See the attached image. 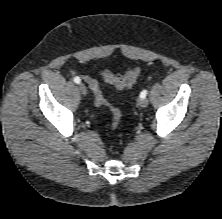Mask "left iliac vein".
<instances>
[{
    "label": "left iliac vein",
    "mask_w": 222,
    "mask_h": 219,
    "mask_svg": "<svg viewBox=\"0 0 222 219\" xmlns=\"http://www.w3.org/2000/svg\"><path fill=\"white\" fill-rule=\"evenodd\" d=\"M137 103L141 108H145L148 105V100L146 98H139Z\"/></svg>",
    "instance_id": "obj_1"
}]
</instances>
